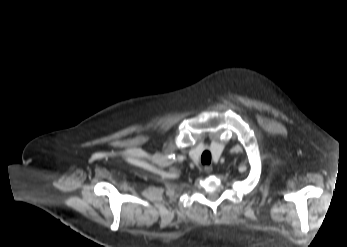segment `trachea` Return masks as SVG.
Returning a JSON list of instances; mask_svg holds the SVG:
<instances>
[{
  "instance_id": "obj_1",
  "label": "trachea",
  "mask_w": 347,
  "mask_h": 247,
  "mask_svg": "<svg viewBox=\"0 0 347 247\" xmlns=\"http://www.w3.org/2000/svg\"><path fill=\"white\" fill-rule=\"evenodd\" d=\"M201 161L203 164H210L211 163V154L209 151H204L202 153Z\"/></svg>"
}]
</instances>
